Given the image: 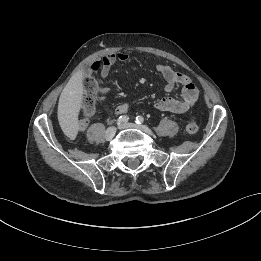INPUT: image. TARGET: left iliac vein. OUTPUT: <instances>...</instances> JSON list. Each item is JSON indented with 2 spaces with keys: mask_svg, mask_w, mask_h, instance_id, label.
Returning <instances> with one entry per match:
<instances>
[{
  "mask_svg": "<svg viewBox=\"0 0 261 261\" xmlns=\"http://www.w3.org/2000/svg\"><path fill=\"white\" fill-rule=\"evenodd\" d=\"M119 128L120 129H125V128L138 129L147 134H150V135L153 134L152 131L146 125H139V124H135V123H125V124H122Z\"/></svg>",
  "mask_w": 261,
  "mask_h": 261,
  "instance_id": "4c4485c4",
  "label": "left iliac vein"
}]
</instances>
